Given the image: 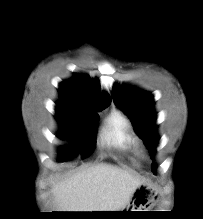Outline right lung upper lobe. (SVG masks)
<instances>
[{
	"instance_id": "obj_1",
	"label": "right lung upper lobe",
	"mask_w": 203,
	"mask_h": 219,
	"mask_svg": "<svg viewBox=\"0 0 203 219\" xmlns=\"http://www.w3.org/2000/svg\"><path fill=\"white\" fill-rule=\"evenodd\" d=\"M99 92V81L91 80L83 74H76L72 79L61 83L59 88L62 101L84 105L91 111H100L111 102L108 94L99 96Z\"/></svg>"
}]
</instances>
